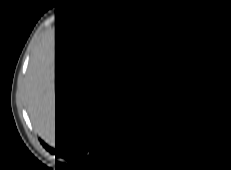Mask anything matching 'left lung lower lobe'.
Wrapping results in <instances>:
<instances>
[{
  "instance_id": "left-lung-lower-lobe-1",
  "label": "left lung lower lobe",
  "mask_w": 231,
  "mask_h": 170,
  "mask_svg": "<svg viewBox=\"0 0 231 170\" xmlns=\"http://www.w3.org/2000/svg\"><path fill=\"white\" fill-rule=\"evenodd\" d=\"M133 107L136 112L142 111L138 121L133 125L135 141L143 149L157 155H169L187 145L197 133L195 126L202 120L200 116L192 122V129L162 139L157 135V118L150 108L140 102L135 103Z\"/></svg>"
}]
</instances>
